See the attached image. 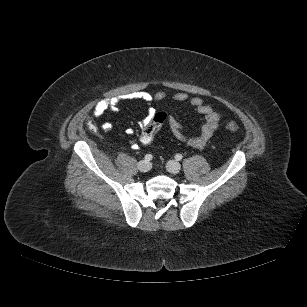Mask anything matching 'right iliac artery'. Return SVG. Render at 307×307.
Masks as SVG:
<instances>
[{
  "label": "right iliac artery",
  "instance_id": "obj_1",
  "mask_svg": "<svg viewBox=\"0 0 307 307\" xmlns=\"http://www.w3.org/2000/svg\"><path fill=\"white\" fill-rule=\"evenodd\" d=\"M144 158H145V161H151L153 156L151 154H146Z\"/></svg>",
  "mask_w": 307,
  "mask_h": 307
}]
</instances>
